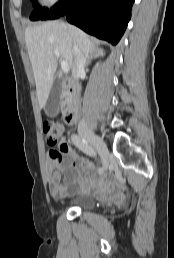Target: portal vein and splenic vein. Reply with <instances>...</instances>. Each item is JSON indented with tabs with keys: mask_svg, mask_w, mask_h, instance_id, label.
Here are the masks:
<instances>
[{
	"mask_svg": "<svg viewBox=\"0 0 174 258\" xmlns=\"http://www.w3.org/2000/svg\"><path fill=\"white\" fill-rule=\"evenodd\" d=\"M55 55H56L57 58L61 57L60 54L57 51H55ZM61 69H62L63 73H68V71H69V65L64 60H61Z\"/></svg>",
	"mask_w": 174,
	"mask_h": 258,
	"instance_id": "portal-vein-and-splenic-vein-1",
	"label": "portal vein and splenic vein"
}]
</instances>
